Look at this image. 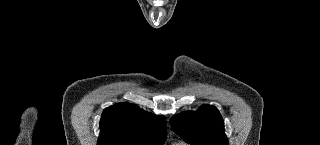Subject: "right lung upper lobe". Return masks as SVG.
Wrapping results in <instances>:
<instances>
[{
    "label": "right lung upper lobe",
    "instance_id": "cb5924a9",
    "mask_svg": "<svg viewBox=\"0 0 320 145\" xmlns=\"http://www.w3.org/2000/svg\"><path fill=\"white\" fill-rule=\"evenodd\" d=\"M166 122L130 103L105 108L100 121L98 145H161Z\"/></svg>",
    "mask_w": 320,
    "mask_h": 145
}]
</instances>
